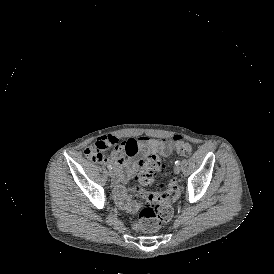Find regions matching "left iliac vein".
<instances>
[{"label":"left iliac vein","mask_w":274,"mask_h":274,"mask_svg":"<svg viewBox=\"0 0 274 274\" xmlns=\"http://www.w3.org/2000/svg\"><path fill=\"white\" fill-rule=\"evenodd\" d=\"M174 172H175L176 174H179V173H180V167H179V166H175V167H174Z\"/></svg>","instance_id":"4c4485c4"}]
</instances>
